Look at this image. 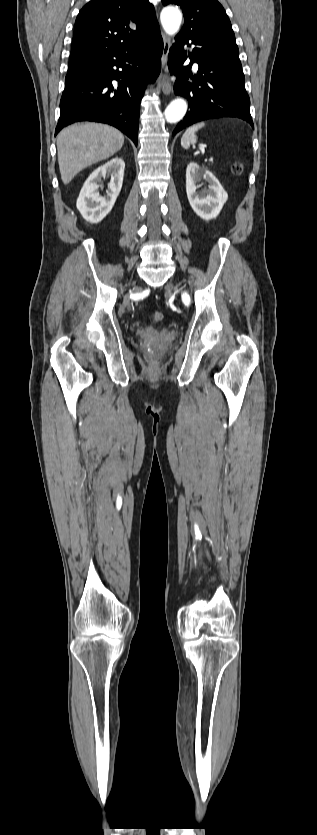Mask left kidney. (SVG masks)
I'll return each instance as SVG.
<instances>
[{
  "mask_svg": "<svg viewBox=\"0 0 317 835\" xmlns=\"http://www.w3.org/2000/svg\"><path fill=\"white\" fill-rule=\"evenodd\" d=\"M202 180L208 183V189L198 191ZM186 193L193 211L206 221L215 219L228 199L217 178L196 162H190L186 169Z\"/></svg>",
  "mask_w": 317,
  "mask_h": 835,
  "instance_id": "obj_1",
  "label": "left kidney"
}]
</instances>
